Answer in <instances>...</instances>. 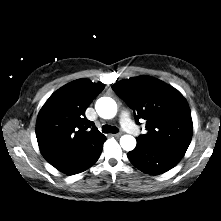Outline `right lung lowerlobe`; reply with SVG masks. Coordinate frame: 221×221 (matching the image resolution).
Returning <instances> with one entry per match:
<instances>
[{
  "mask_svg": "<svg viewBox=\"0 0 221 221\" xmlns=\"http://www.w3.org/2000/svg\"><path fill=\"white\" fill-rule=\"evenodd\" d=\"M100 156V155H99ZM99 156L91 163V164H89L84 170H82V171H85L86 169H88L89 167H91L97 160H98V158H99ZM81 171V172H82ZM80 173V172H79Z\"/></svg>",
  "mask_w": 221,
  "mask_h": 221,
  "instance_id": "1",
  "label": "right lung lower lobe"
}]
</instances>
